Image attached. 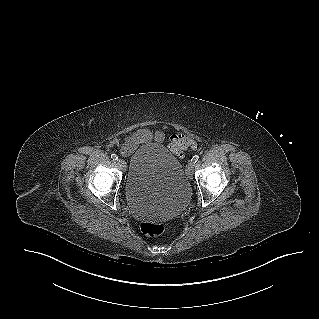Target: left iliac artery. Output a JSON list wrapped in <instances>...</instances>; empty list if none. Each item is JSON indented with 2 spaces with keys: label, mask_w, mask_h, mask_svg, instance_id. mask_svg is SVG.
I'll return each mask as SVG.
<instances>
[{
  "label": "left iliac artery",
  "mask_w": 319,
  "mask_h": 319,
  "mask_svg": "<svg viewBox=\"0 0 319 319\" xmlns=\"http://www.w3.org/2000/svg\"><path fill=\"white\" fill-rule=\"evenodd\" d=\"M199 159V155H194L191 161L195 164Z\"/></svg>",
  "instance_id": "44dca946"
}]
</instances>
